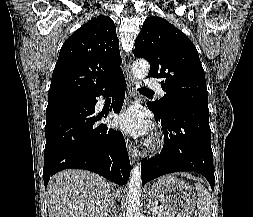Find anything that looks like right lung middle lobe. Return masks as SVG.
<instances>
[{"label":"right lung middle lobe","mask_w":253,"mask_h":217,"mask_svg":"<svg viewBox=\"0 0 253 217\" xmlns=\"http://www.w3.org/2000/svg\"><path fill=\"white\" fill-rule=\"evenodd\" d=\"M84 99L85 98H74V99H68V100H62V101H56V102H48L47 109H52V108H55V107H58L60 105L67 104V103L82 101Z\"/></svg>","instance_id":"1"}]
</instances>
